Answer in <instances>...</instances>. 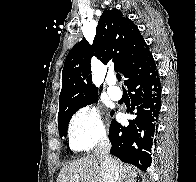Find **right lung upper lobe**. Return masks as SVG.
<instances>
[{
    "instance_id": "cb5924a9",
    "label": "right lung upper lobe",
    "mask_w": 196,
    "mask_h": 182,
    "mask_svg": "<svg viewBox=\"0 0 196 182\" xmlns=\"http://www.w3.org/2000/svg\"><path fill=\"white\" fill-rule=\"evenodd\" d=\"M92 56L104 64L113 60L115 70L127 80L152 54L130 19L123 17L117 9L105 10L99 19L93 45L82 40L66 57L58 116L97 97L98 89L91 79Z\"/></svg>"
}]
</instances>
